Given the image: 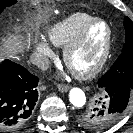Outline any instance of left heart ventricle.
I'll return each instance as SVG.
<instances>
[{
	"label": "left heart ventricle",
	"instance_id": "left-heart-ventricle-1",
	"mask_svg": "<svg viewBox=\"0 0 133 133\" xmlns=\"http://www.w3.org/2000/svg\"><path fill=\"white\" fill-rule=\"evenodd\" d=\"M106 39V26L101 23L94 24L82 44L71 55L70 67L75 71H86L93 67L103 53Z\"/></svg>",
	"mask_w": 133,
	"mask_h": 133
}]
</instances>
